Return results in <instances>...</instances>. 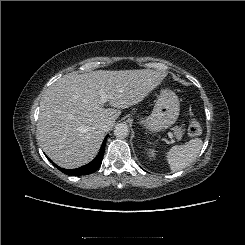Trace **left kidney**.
I'll return each mask as SVG.
<instances>
[{"label": "left kidney", "mask_w": 245, "mask_h": 245, "mask_svg": "<svg viewBox=\"0 0 245 245\" xmlns=\"http://www.w3.org/2000/svg\"><path fill=\"white\" fill-rule=\"evenodd\" d=\"M148 154L150 155V156H152V157H154L155 156V151L153 150V149H148Z\"/></svg>", "instance_id": "1"}]
</instances>
